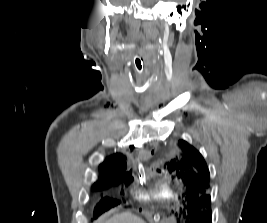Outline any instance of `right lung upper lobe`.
Masks as SVG:
<instances>
[{
  "mask_svg": "<svg viewBox=\"0 0 267 223\" xmlns=\"http://www.w3.org/2000/svg\"><path fill=\"white\" fill-rule=\"evenodd\" d=\"M126 167L127 164L126 162L123 160V156L122 154H115L109 158H107L105 160V162H103L100 165V175L101 178L100 180L95 183V186L100 185V182L103 179H107L110 177H124L127 179V177L129 176V173H126ZM96 189V188H94Z\"/></svg>",
  "mask_w": 267,
  "mask_h": 223,
  "instance_id": "cb5924a9",
  "label": "right lung upper lobe"
}]
</instances>
